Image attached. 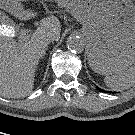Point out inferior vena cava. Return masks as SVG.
<instances>
[{"instance_id": "1", "label": "inferior vena cava", "mask_w": 135, "mask_h": 135, "mask_svg": "<svg viewBox=\"0 0 135 135\" xmlns=\"http://www.w3.org/2000/svg\"><path fill=\"white\" fill-rule=\"evenodd\" d=\"M54 40H55V36H54V35H49V36L46 38V42H47V43L53 42Z\"/></svg>"}]
</instances>
